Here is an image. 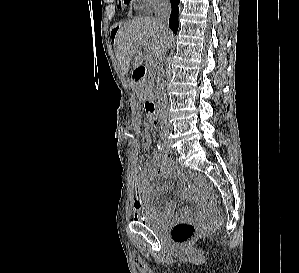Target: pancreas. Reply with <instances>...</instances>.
I'll use <instances>...</instances> for the list:
<instances>
[{
  "label": "pancreas",
  "instance_id": "obj_1",
  "mask_svg": "<svg viewBox=\"0 0 299 273\" xmlns=\"http://www.w3.org/2000/svg\"><path fill=\"white\" fill-rule=\"evenodd\" d=\"M147 91H148V88H147L145 82H140L139 85H138V87H137L138 94H140V95H146Z\"/></svg>",
  "mask_w": 299,
  "mask_h": 273
}]
</instances>
